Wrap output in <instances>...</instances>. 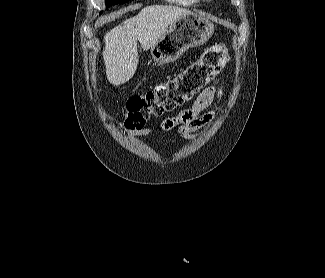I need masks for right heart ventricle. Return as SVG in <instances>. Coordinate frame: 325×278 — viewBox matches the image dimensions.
I'll list each match as a JSON object with an SVG mask.
<instances>
[{
    "instance_id": "1",
    "label": "right heart ventricle",
    "mask_w": 325,
    "mask_h": 278,
    "mask_svg": "<svg viewBox=\"0 0 325 278\" xmlns=\"http://www.w3.org/2000/svg\"><path fill=\"white\" fill-rule=\"evenodd\" d=\"M169 2L181 5V6H187V7H194L199 6L204 0H167Z\"/></svg>"
}]
</instances>
